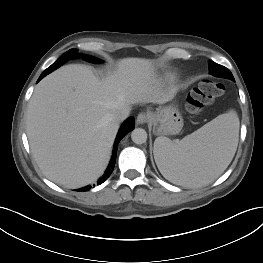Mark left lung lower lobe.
Wrapping results in <instances>:
<instances>
[{
	"label": "left lung lower lobe",
	"instance_id": "1",
	"mask_svg": "<svg viewBox=\"0 0 263 263\" xmlns=\"http://www.w3.org/2000/svg\"><path fill=\"white\" fill-rule=\"evenodd\" d=\"M210 72H211V74H215L216 73L215 68L214 67H210Z\"/></svg>",
	"mask_w": 263,
	"mask_h": 263
}]
</instances>
